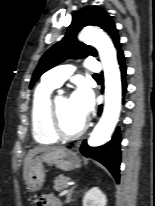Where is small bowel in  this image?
I'll use <instances>...</instances> for the list:
<instances>
[{
	"mask_svg": "<svg viewBox=\"0 0 155 206\" xmlns=\"http://www.w3.org/2000/svg\"><path fill=\"white\" fill-rule=\"evenodd\" d=\"M40 206H61L60 201L53 196L42 198Z\"/></svg>",
	"mask_w": 155,
	"mask_h": 206,
	"instance_id": "small-bowel-1",
	"label": "small bowel"
}]
</instances>
